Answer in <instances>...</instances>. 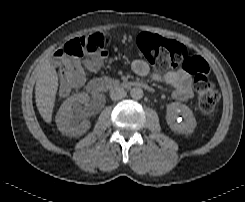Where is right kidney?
Wrapping results in <instances>:
<instances>
[{
  "label": "right kidney",
  "instance_id": "right-kidney-1",
  "mask_svg": "<svg viewBox=\"0 0 245 202\" xmlns=\"http://www.w3.org/2000/svg\"><path fill=\"white\" fill-rule=\"evenodd\" d=\"M89 99L87 93H78L62 103L56 115V124L62 134L79 137L87 132L90 122L85 119L80 104H87Z\"/></svg>",
  "mask_w": 245,
  "mask_h": 202
}]
</instances>
